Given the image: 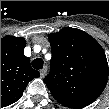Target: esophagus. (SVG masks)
<instances>
[{
    "label": "esophagus",
    "instance_id": "1",
    "mask_svg": "<svg viewBox=\"0 0 109 109\" xmlns=\"http://www.w3.org/2000/svg\"><path fill=\"white\" fill-rule=\"evenodd\" d=\"M47 69L44 67L40 70V77L43 78L46 75Z\"/></svg>",
    "mask_w": 109,
    "mask_h": 109
}]
</instances>
